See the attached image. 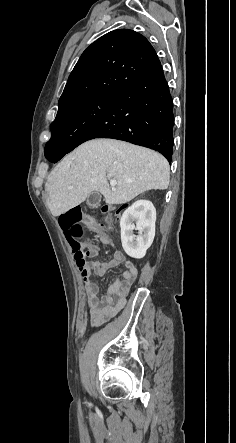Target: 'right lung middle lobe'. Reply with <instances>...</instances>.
I'll use <instances>...</instances> for the list:
<instances>
[{
	"label": "right lung middle lobe",
	"instance_id": "1",
	"mask_svg": "<svg viewBox=\"0 0 236 443\" xmlns=\"http://www.w3.org/2000/svg\"><path fill=\"white\" fill-rule=\"evenodd\" d=\"M114 97L115 95L112 94H97L58 112L51 124L52 136L45 149L49 147H68L80 131L79 128L91 120Z\"/></svg>",
	"mask_w": 236,
	"mask_h": 443
}]
</instances>
